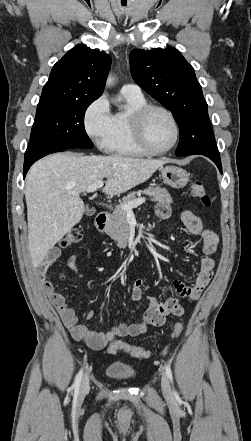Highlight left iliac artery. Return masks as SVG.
<instances>
[{
  "mask_svg": "<svg viewBox=\"0 0 251 441\" xmlns=\"http://www.w3.org/2000/svg\"><path fill=\"white\" fill-rule=\"evenodd\" d=\"M165 371H166V375H167V377L169 378V380H170L171 382H173L172 371H171L170 366L167 365V364L165 365Z\"/></svg>",
  "mask_w": 251,
  "mask_h": 441,
  "instance_id": "obj_1",
  "label": "left iliac artery"
}]
</instances>
